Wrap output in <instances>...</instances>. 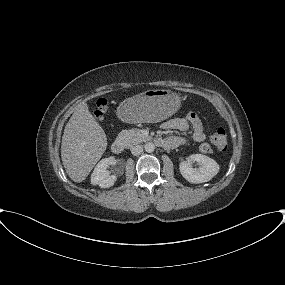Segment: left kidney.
Masks as SVG:
<instances>
[{"label": "left kidney", "mask_w": 285, "mask_h": 285, "mask_svg": "<svg viewBox=\"0 0 285 285\" xmlns=\"http://www.w3.org/2000/svg\"><path fill=\"white\" fill-rule=\"evenodd\" d=\"M192 161L197 162L200 168H192ZM181 175L190 183H204L210 181L219 172L217 162L202 154H192L188 160L179 165Z\"/></svg>", "instance_id": "5707ae66"}]
</instances>
